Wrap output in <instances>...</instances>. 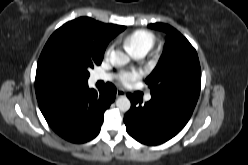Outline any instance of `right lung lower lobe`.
Wrapping results in <instances>:
<instances>
[{"instance_id":"98d812e1","label":"right lung lower lobe","mask_w":248,"mask_h":165,"mask_svg":"<svg viewBox=\"0 0 248 165\" xmlns=\"http://www.w3.org/2000/svg\"><path fill=\"white\" fill-rule=\"evenodd\" d=\"M115 96V86L107 83L99 92L86 86L80 91L53 96L38 103L47 123L58 135L70 142L83 143L97 136L104 112Z\"/></svg>"}]
</instances>
